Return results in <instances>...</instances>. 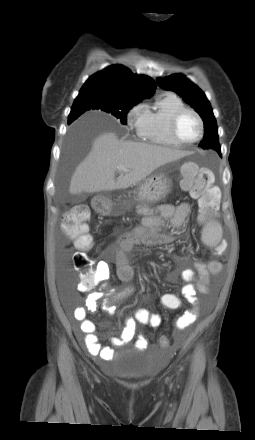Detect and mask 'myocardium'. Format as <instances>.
Returning a JSON list of instances; mask_svg holds the SVG:
<instances>
[{"mask_svg":"<svg viewBox=\"0 0 255 440\" xmlns=\"http://www.w3.org/2000/svg\"><path fill=\"white\" fill-rule=\"evenodd\" d=\"M186 113H191L192 115H194L198 121V124H199V134H198L197 138L192 141H185L178 134L179 121H180L181 117ZM170 132H171V135H172L173 139L175 140V142L178 143L179 145H186V146L193 145V144L199 142L203 138L204 121H203L202 117L200 116V114L196 110L189 108V107H183V108L179 109L178 111H176L174 113V115L172 116L171 121H170Z\"/></svg>","mask_w":255,"mask_h":440,"instance_id":"1","label":"myocardium"}]
</instances>
